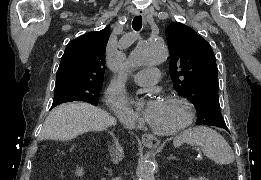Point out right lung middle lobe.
<instances>
[{
    "label": "right lung middle lobe",
    "mask_w": 261,
    "mask_h": 180,
    "mask_svg": "<svg viewBox=\"0 0 261 180\" xmlns=\"http://www.w3.org/2000/svg\"><path fill=\"white\" fill-rule=\"evenodd\" d=\"M101 87L102 83H66L55 86L53 106L72 101H84L97 105Z\"/></svg>",
    "instance_id": "1"
}]
</instances>
